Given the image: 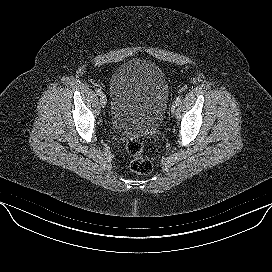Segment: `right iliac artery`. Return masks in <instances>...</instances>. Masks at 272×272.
Here are the masks:
<instances>
[{"mask_svg":"<svg viewBox=\"0 0 272 272\" xmlns=\"http://www.w3.org/2000/svg\"><path fill=\"white\" fill-rule=\"evenodd\" d=\"M96 93L99 95V96H101L103 93H102V91H101V89H99V88H97L96 90Z\"/></svg>","mask_w":272,"mask_h":272,"instance_id":"1","label":"right iliac artery"}]
</instances>
